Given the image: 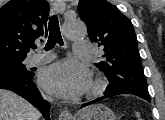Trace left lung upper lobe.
<instances>
[{
  "label": "left lung upper lobe",
  "mask_w": 165,
  "mask_h": 120,
  "mask_svg": "<svg viewBox=\"0 0 165 120\" xmlns=\"http://www.w3.org/2000/svg\"><path fill=\"white\" fill-rule=\"evenodd\" d=\"M78 13L89 39L104 50L95 65L109 81L107 94H133L150 101L131 21L106 0H79Z\"/></svg>",
  "instance_id": "obj_1"
}]
</instances>
